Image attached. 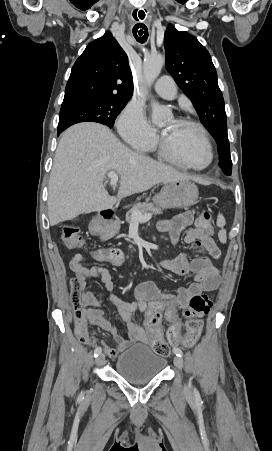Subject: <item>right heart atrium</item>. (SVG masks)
Segmentation results:
<instances>
[{
	"mask_svg": "<svg viewBox=\"0 0 272 451\" xmlns=\"http://www.w3.org/2000/svg\"><path fill=\"white\" fill-rule=\"evenodd\" d=\"M118 127L123 138L138 149L148 148L157 138V131L148 121L144 109L134 103L123 110Z\"/></svg>",
	"mask_w": 272,
	"mask_h": 451,
	"instance_id": "d8ad5b80",
	"label": "right heart atrium"
}]
</instances>
